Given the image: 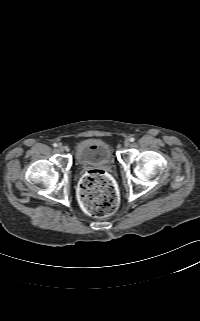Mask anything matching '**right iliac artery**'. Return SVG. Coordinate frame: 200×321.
<instances>
[{"label":"right iliac artery","mask_w":200,"mask_h":321,"mask_svg":"<svg viewBox=\"0 0 200 321\" xmlns=\"http://www.w3.org/2000/svg\"><path fill=\"white\" fill-rule=\"evenodd\" d=\"M54 147H57L58 145L56 143L53 144Z\"/></svg>","instance_id":"obj_1"}]
</instances>
